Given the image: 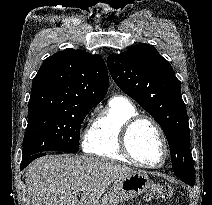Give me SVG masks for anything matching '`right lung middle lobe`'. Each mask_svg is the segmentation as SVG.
Returning a JSON list of instances; mask_svg holds the SVG:
<instances>
[{
  "instance_id": "right-lung-middle-lobe-1",
  "label": "right lung middle lobe",
  "mask_w": 212,
  "mask_h": 205,
  "mask_svg": "<svg viewBox=\"0 0 212 205\" xmlns=\"http://www.w3.org/2000/svg\"><path fill=\"white\" fill-rule=\"evenodd\" d=\"M94 106H28L22 159L48 151L77 152L81 124Z\"/></svg>"
}]
</instances>
